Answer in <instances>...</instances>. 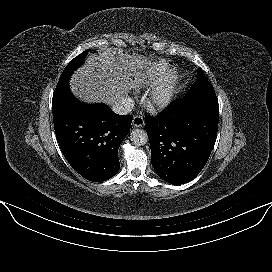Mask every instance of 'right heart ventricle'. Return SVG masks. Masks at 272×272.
Segmentation results:
<instances>
[{
  "label": "right heart ventricle",
  "mask_w": 272,
  "mask_h": 272,
  "mask_svg": "<svg viewBox=\"0 0 272 272\" xmlns=\"http://www.w3.org/2000/svg\"><path fill=\"white\" fill-rule=\"evenodd\" d=\"M168 69V64L165 61H156L147 68L142 83L152 85L158 82Z\"/></svg>",
  "instance_id": "obj_1"
}]
</instances>
